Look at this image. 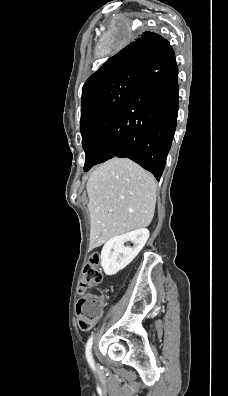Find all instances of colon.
I'll list each match as a JSON object with an SVG mask.
<instances>
[{"instance_id": "obj_1", "label": "colon", "mask_w": 228, "mask_h": 396, "mask_svg": "<svg viewBox=\"0 0 228 396\" xmlns=\"http://www.w3.org/2000/svg\"><path fill=\"white\" fill-rule=\"evenodd\" d=\"M101 280L102 269L100 256L94 253L82 270L79 281L80 292H85L100 283ZM104 304V297L96 294H86L78 301L77 316L81 329L88 330L96 323L101 315Z\"/></svg>"}]
</instances>
